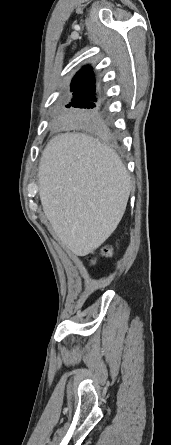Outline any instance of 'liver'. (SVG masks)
Masks as SVG:
<instances>
[{"label":"liver","instance_id":"obj_1","mask_svg":"<svg viewBox=\"0 0 171 445\" xmlns=\"http://www.w3.org/2000/svg\"><path fill=\"white\" fill-rule=\"evenodd\" d=\"M43 211L61 244L84 256L117 228L132 188L116 152L82 133L53 137L38 172Z\"/></svg>","mask_w":171,"mask_h":445}]
</instances>
